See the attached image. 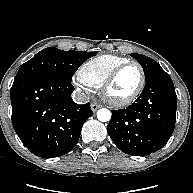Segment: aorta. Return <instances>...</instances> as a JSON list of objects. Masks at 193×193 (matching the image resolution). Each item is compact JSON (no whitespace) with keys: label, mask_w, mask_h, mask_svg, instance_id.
I'll list each match as a JSON object with an SVG mask.
<instances>
[{"label":"aorta","mask_w":193,"mask_h":193,"mask_svg":"<svg viewBox=\"0 0 193 193\" xmlns=\"http://www.w3.org/2000/svg\"><path fill=\"white\" fill-rule=\"evenodd\" d=\"M97 118L101 122H107L111 119V112L106 108L99 109L97 111Z\"/></svg>","instance_id":"762f6f07"}]
</instances>
